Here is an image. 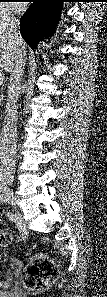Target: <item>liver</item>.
Listing matches in <instances>:
<instances>
[{
  "label": "liver",
  "mask_w": 107,
  "mask_h": 297,
  "mask_svg": "<svg viewBox=\"0 0 107 297\" xmlns=\"http://www.w3.org/2000/svg\"><path fill=\"white\" fill-rule=\"evenodd\" d=\"M26 44L24 42V50L26 52ZM17 47L9 41L5 34H0V68L6 72L13 70L15 66Z\"/></svg>",
  "instance_id": "6515ba94"
}]
</instances>
